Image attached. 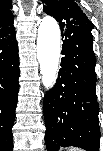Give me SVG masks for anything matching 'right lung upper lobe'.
<instances>
[{
	"instance_id": "right-lung-upper-lobe-1",
	"label": "right lung upper lobe",
	"mask_w": 103,
	"mask_h": 151,
	"mask_svg": "<svg viewBox=\"0 0 103 151\" xmlns=\"http://www.w3.org/2000/svg\"><path fill=\"white\" fill-rule=\"evenodd\" d=\"M11 7L10 0H2L0 3V33L8 32L14 28Z\"/></svg>"
}]
</instances>
